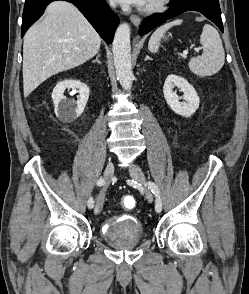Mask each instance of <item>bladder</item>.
Returning <instances> with one entry per match:
<instances>
[{
    "label": "bladder",
    "instance_id": "bladder-1",
    "mask_svg": "<svg viewBox=\"0 0 249 294\" xmlns=\"http://www.w3.org/2000/svg\"><path fill=\"white\" fill-rule=\"evenodd\" d=\"M143 236V223L133 215L112 216L105 221L102 230V237L106 241L119 237H134L141 240Z\"/></svg>",
    "mask_w": 249,
    "mask_h": 294
}]
</instances>
